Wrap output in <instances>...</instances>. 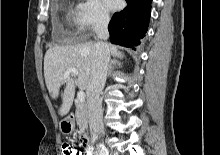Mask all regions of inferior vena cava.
I'll use <instances>...</instances> for the list:
<instances>
[{"instance_id": "inferior-vena-cava-1", "label": "inferior vena cava", "mask_w": 220, "mask_h": 155, "mask_svg": "<svg viewBox=\"0 0 220 155\" xmlns=\"http://www.w3.org/2000/svg\"><path fill=\"white\" fill-rule=\"evenodd\" d=\"M108 23L109 15L101 13L95 25V33L99 41L94 45V57L92 60L89 83L86 89L89 127L93 139L104 133L100 93L105 86L108 63L110 60L109 47L105 42L109 37Z\"/></svg>"}]
</instances>
